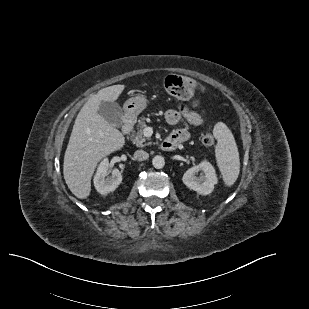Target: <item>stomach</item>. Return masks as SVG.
I'll return each mask as SVG.
<instances>
[{
	"mask_svg": "<svg viewBox=\"0 0 309 309\" xmlns=\"http://www.w3.org/2000/svg\"><path fill=\"white\" fill-rule=\"evenodd\" d=\"M148 100L145 96H136L124 103L125 115L128 118H136L147 106Z\"/></svg>",
	"mask_w": 309,
	"mask_h": 309,
	"instance_id": "1",
	"label": "stomach"
}]
</instances>
